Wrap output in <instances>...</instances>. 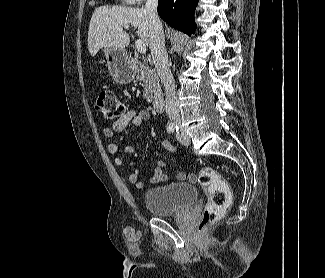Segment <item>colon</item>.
<instances>
[{"label": "colon", "instance_id": "1", "mask_svg": "<svg viewBox=\"0 0 325 278\" xmlns=\"http://www.w3.org/2000/svg\"><path fill=\"white\" fill-rule=\"evenodd\" d=\"M95 110L106 120H118L125 114V105L111 90H101L95 100ZM195 181L194 176L189 177ZM197 181L208 193L206 204L198 223V229L204 231L218 222L231 203L232 193L226 181L211 167H202L198 172Z\"/></svg>", "mask_w": 325, "mask_h": 278}]
</instances>
